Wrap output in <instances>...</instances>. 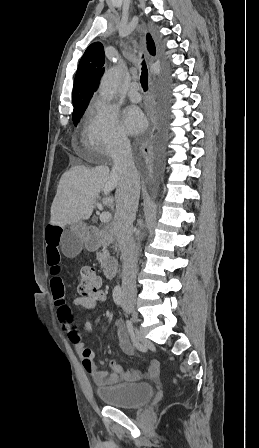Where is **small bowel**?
<instances>
[{"mask_svg":"<svg viewBox=\"0 0 259 448\" xmlns=\"http://www.w3.org/2000/svg\"><path fill=\"white\" fill-rule=\"evenodd\" d=\"M63 228L60 225L49 224L45 231V257L51 276L50 286L57 307V318L63 332L73 343L76 352L80 355L82 365L94 384L98 387L111 386L119 381L133 382L140 380L144 375L138 370H126L115 360H110L111 371H101L93 360V353L86 348L82 341L79 330L73 324L72 312L65 299V284L60 277L61 271V253L60 243L62 240ZM106 295L102 291L98 295L78 296L73 299L72 304L80 306L87 310L94 309L99 303L105 301ZM84 327L87 331L92 329L90 321H85ZM117 338L119 347L125 355L132 356L134 347L128 338L126 328L121 320L116 321ZM100 364H103L101 361ZM160 365L158 361H152L145 374L148 378L158 377Z\"/></svg>","mask_w":259,"mask_h":448,"instance_id":"1","label":"small bowel"}]
</instances>
